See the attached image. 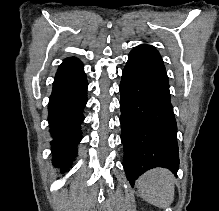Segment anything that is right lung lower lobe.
Masks as SVG:
<instances>
[{"label":"right lung lower lobe","instance_id":"right-lung-lower-lobe-1","mask_svg":"<svg viewBox=\"0 0 219 211\" xmlns=\"http://www.w3.org/2000/svg\"><path fill=\"white\" fill-rule=\"evenodd\" d=\"M87 87L81 61L74 57L65 59L57 70L48 106L53 164L61 170L70 168L77 155Z\"/></svg>","mask_w":219,"mask_h":211}]
</instances>
